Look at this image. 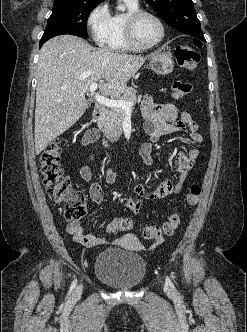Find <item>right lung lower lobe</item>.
Segmentation results:
<instances>
[{"instance_id": "98d812e1", "label": "right lung lower lobe", "mask_w": 247, "mask_h": 332, "mask_svg": "<svg viewBox=\"0 0 247 332\" xmlns=\"http://www.w3.org/2000/svg\"><path fill=\"white\" fill-rule=\"evenodd\" d=\"M62 34H71V35L78 36L76 33L72 32L68 28H64V27L46 28L44 31V34L40 40V48L48 39L55 37L57 35H62Z\"/></svg>"}]
</instances>
